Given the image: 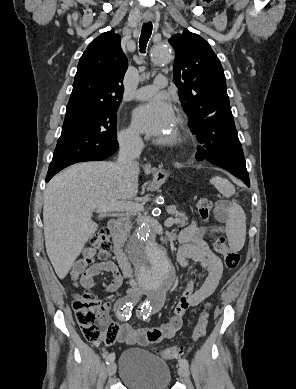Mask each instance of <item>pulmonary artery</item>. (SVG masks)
I'll list each match as a JSON object with an SVG mask.
<instances>
[{
    "instance_id": "obj_1",
    "label": "pulmonary artery",
    "mask_w": 296,
    "mask_h": 389,
    "mask_svg": "<svg viewBox=\"0 0 296 389\" xmlns=\"http://www.w3.org/2000/svg\"><path fill=\"white\" fill-rule=\"evenodd\" d=\"M166 84H167L166 77L163 75H158L156 76L153 84L139 88L135 93V98L139 100L150 98L159 89L165 87Z\"/></svg>"
}]
</instances>
